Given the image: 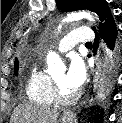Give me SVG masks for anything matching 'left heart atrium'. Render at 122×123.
<instances>
[{
	"label": "left heart atrium",
	"instance_id": "1",
	"mask_svg": "<svg viewBox=\"0 0 122 123\" xmlns=\"http://www.w3.org/2000/svg\"><path fill=\"white\" fill-rule=\"evenodd\" d=\"M86 78V68L83 60L74 56L71 58L69 67L64 76V84L71 90H78Z\"/></svg>",
	"mask_w": 122,
	"mask_h": 123
}]
</instances>
